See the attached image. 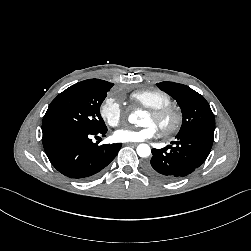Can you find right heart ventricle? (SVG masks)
<instances>
[{
  "instance_id": "1",
  "label": "right heart ventricle",
  "mask_w": 251,
  "mask_h": 251,
  "mask_svg": "<svg viewBox=\"0 0 251 251\" xmlns=\"http://www.w3.org/2000/svg\"><path fill=\"white\" fill-rule=\"evenodd\" d=\"M130 98L148 109H157L171 104L169 94L159 89L138 90L131 93Z\"/></svg>"
}]
</instances>
